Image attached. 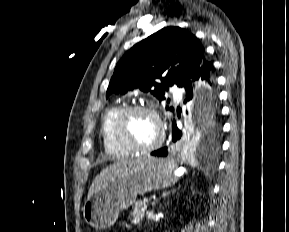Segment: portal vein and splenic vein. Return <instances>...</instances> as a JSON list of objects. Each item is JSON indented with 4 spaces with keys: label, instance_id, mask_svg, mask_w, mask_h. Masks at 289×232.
Here are the masks:
<instances>
[{
    "label": "portal vein and splenic vein",
    "instance_id": "obj_1",
    "mask_svg": "<svg viewBox=\"0 0 289 232\" xmlns=\"http://www.w3.org/2000/svg\"><path fill=\"white\" fill-rule=\"evenodd\" d=\"M144 203H148L149 202V199L148 198H144Z\"/></svg>",
    "mask_w": 289,
    "mask_h": 232
}]
</instances>
